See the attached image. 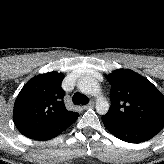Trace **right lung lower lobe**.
<instances>
[{
	"label": "right lung lower lobe",
	"mask_w": 164,
	"mask_h": 164,
	"mask_svg": "<svg viewBox=\"0 0 164 164\" xmlns=\"http://www.w3.org/2000/svg\"><path fill=\"white\" fill-rule=\"evenodd\" d=\"M78 116V114H75L69 118H66L65 120L58 122L57 124L36 131L26 137L37 141H45L54 138L70 127L78 119Z\"/></svg>",
	"instance_id": "right-lung-lower-lobe-1"
}]
</instances>
